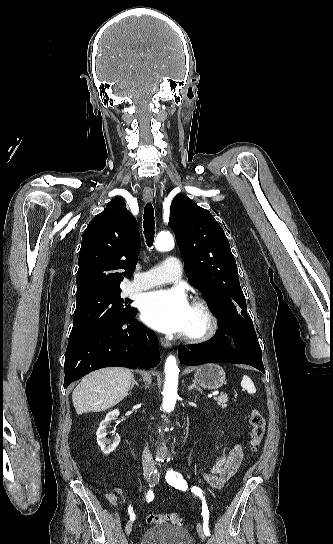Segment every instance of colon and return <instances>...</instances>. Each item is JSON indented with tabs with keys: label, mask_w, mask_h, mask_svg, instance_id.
<instances>
[{
	"label": "colon",
	"mask_w": 333,
	"mask_h": 544,
	"mask_svg": "<svg viewBox=\"0 0 333 544\" xmlns=\"http://www.w3.org/2000/svg\"><path fill=\"white\" fill-rule=\"evenodd\" d=\"M249 424H250V444L253 451H257L261 445L265 434V419L261 412L255 408H252L249 412ZM147 524H162L170 523L173 525H182L183 519L177 512L156 514L152 513L146 517Z\"/></svg>",
	"instance_id": "obj_1"
}]
</instances>
